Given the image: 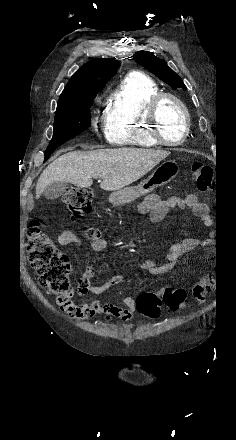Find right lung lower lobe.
Returning a JSON list of instances; mask_svg holds the SVG:
<instances>
[{"label":"right lung lower lobe","mask_w":236,"mask_h":440,"mask_svg":"<svg viewBox=\"0 0 236 440\" xmlns=\"http://www.w3.org/2000/svg\"><path fill=\"white\" fill-rule=\"evenodd\" d=\"M57 148V147H56ZM56 148H49L45 151V159L44 162L50 157L51 153L56 149Z\"/></svg>","instance_id":"1"}]
</instances>
